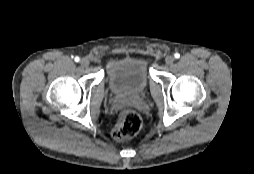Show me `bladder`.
<instances>
[{
    "label": "bladder",
    "mask_w": 254,
    "mask_h": 174,
    "mask_svg": "<svg viewBox=\"0 0 254 174\" xmlns=\"http://www.w3.org/2000/svg\"><path fill=\"white\" fill-rule=\"evenodd\" d=\"M110 89L118 95H137L149 84L148 61L144 57H123L107 66Z\"/></svg>",
    "instance_id": "obj_1"
}]
</instances>
